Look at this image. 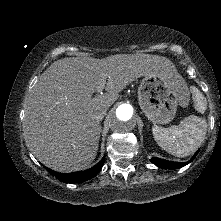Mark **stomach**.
Returning a JSON list of instances; mask_svg holds the SVG:
<instances>
[{"label":"stomach","mask_w":221,"mask_h":221,"mask_svg":"<svg viewBox=\"0 0 221 221\" xmlns=\"http://www.w3.org/2000/svg\"><path fill=\"white\" fill-rule=\"evenodd\" d=\"M188 101V88L176 69L144 76L138 88L140 108L156 124L172 121L178 105L185 107Z\"/></svg>","instance_id":"obj_1"}]
</instances>
